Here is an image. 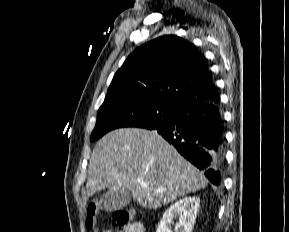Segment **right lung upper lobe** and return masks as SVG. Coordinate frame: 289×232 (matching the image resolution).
Masks as SVG:
<instances>
[{
  "mask_svg": "<svg viewBox=\"0 0 289 232\" xmlns=\"http://www.w3.org/2000/svg\"><path fill=\"white\" fill-rule=\"evenodd\" d=\"M143 96L176 108L219 97L204 56L190 42L164 35L131 53L106 98Z\"/></svg>",
  "mask_w": 289,
  "mask_h": 232,
  "instance_id": "right-lung-upper-lobe-1",
  "label": "right lung upper lobe"
}]
</instances>
